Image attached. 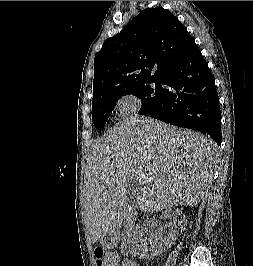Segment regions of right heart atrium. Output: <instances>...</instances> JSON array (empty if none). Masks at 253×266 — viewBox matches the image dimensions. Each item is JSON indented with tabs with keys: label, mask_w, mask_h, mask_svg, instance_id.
<instances>
[{
	"label": "right heart atrium",
	"mask_w": 253,
	"mask_h": 266,
	"mask_svg": "<svg viewBox=\"0 0 253 266\" xmlns=\"http://www.w3.org/2000/svg\"><path fill=\"white\" fill-rule=\"evenodd\" d=\"M141 98L133 93H127L119 97L117 101V112L120 116H128L140 110Z\"/></svg>",
	"instance_id": "1"
}]
</instances>
